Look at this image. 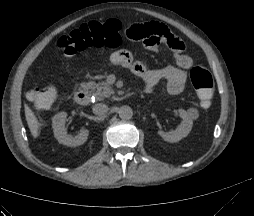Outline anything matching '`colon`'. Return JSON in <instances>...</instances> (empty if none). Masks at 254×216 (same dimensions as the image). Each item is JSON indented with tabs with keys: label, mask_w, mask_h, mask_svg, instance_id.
Returning a JSON list of instances; mask_svg holds the SVG:
<instances>
[{
	"label": "colon",
	"mask_w": 254,
	"mask_h": 216,
	"mask_svg": "<svg viewBox=\"0 0 254 216\" xmlns=\"http://www.w3.org/2000/svg\"><path fill=\"white\" fill-rule=\"evenodd\" d=\"M121 42L120 23L117 20H108L104 23L92 22L83 25L62 36L57 45L64 55L73 56L86 48H114L119 46ZM190 81L197 91L202 106L209 108L214 91L211 73L206 68L195 65L190 70ZM56 95L57 92L54 87L46 86L32 89L28 94V98L37 108L46 109L55 101Z\"/></svg>",
	"instance_id": "obj_1"
}]
</instances>
